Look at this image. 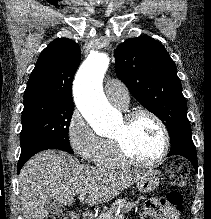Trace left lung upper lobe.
<instances>
[{"mask_svg":"<svg viewBox=\"0 0 211 219\" xmlns=\"http://www.w3.org/2000/svg\"><path fill=\"white\" fill-rule=\"evenodd\" d=\"M114 56L118 78L165 124L170 141L191 130L175 63L161 43L148 36L130 38L117 47Z\"/></svg>","mask_w":211,"mask_h":219,"instance_id":"5c2ea615","label":"left lung upper lobe"}]
</instances>
